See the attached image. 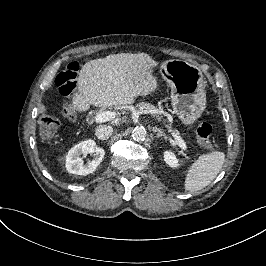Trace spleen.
<instances>
[{
  "instance_id": "1",
  "label": "spleen",
  "mask_w": 266,
  "mask_h": 266,
  "mask_svg": "<svg viewBox=\"0 0 266 266\" xmlns=\"http://www.w3.org/2000/svg\"><path fill=\"white\" fill-rule=\"evenodd\" d=\"M225 153L213 150L201 154L186 172L183 188L188 192H196L209 185L221 171Z\"/></svg>"
}]
</instances>
